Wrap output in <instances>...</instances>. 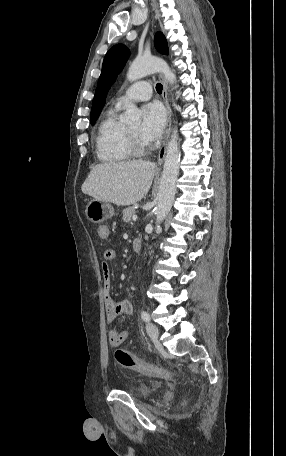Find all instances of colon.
I'll return each mask as SVG.
<instances>
[{
	"label": "colon",
	"mask_w": 286,
	"mask_h": 456,
	"mask_svg": "<svg viewBox=\"0 0 286 456\" xmlns=\"http://www.w3.org/2000/svg\"><path fill=\"white\" fill-rule=\"evenodd\" d=\"M115 358L121 366L135 370L143 375L163 380L172 379V373L167 369L143 361L124 349H117L115 352Z\"/></svg>",
	"instance_id": "obj_1"
}]
</instances>
